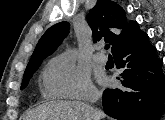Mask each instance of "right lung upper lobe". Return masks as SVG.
<instances>
[{
	"label": "right lung upper lobe",
	"mask_w": 165,
	"mask_h": 120,
	"mask_svg": "<svg viewBox=\"0 0 165 120\" xmlns=\"http://www.w3.org/2000/svg\"><path fill=\"white\" fill-rule=\"evenodd\" d=\"M88 24L92 29L94 42L105 39L112 45V54L143 34L138 23H128L123 8L110 0L97 1L88 13ZM69 28L68 22L50 27L40 38L28 66L52 54L69 33Z\"/></svg>",
	"instance_id": "obj_1"
}]
</instances>
